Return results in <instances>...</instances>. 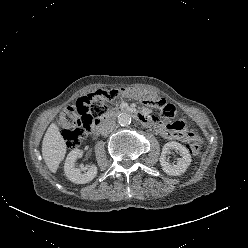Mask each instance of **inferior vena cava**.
Segmentation results:
<instances>
[{
	"label": "inferior vena cava",
	"instance_id": "inferior-vena-cava-1",
	"mask_svg": "<svg viewBox=\"0 0 248 248\" xmlns=\"http://www.w3.org/2000/svg\"><path fill=\"white\" fill-rule=\"evenodd\" d=\"M116 126V123L114 120H107L102 123L100 132L102 135H107L109 134Z\"/></svg>",
	"mask_w": 248,
	"mask_h": 248
}]
</instances>
